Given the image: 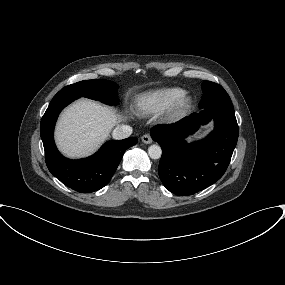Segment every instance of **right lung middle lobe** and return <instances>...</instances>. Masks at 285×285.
<instances>
[{
  "instance_id": "obj_1",
  "label": "right lung middle lobe",
  "mask_w": 285,
  "mask_h": 285,
  "mask_svg": "<svg viewBox=\"0 0 285 285\" xmlns=\"http://www.w3.org/2000/svg\"><path fill=\"white\" fill-rule=\"evenodd\" d=\"M117 89L118 85L112 81L94 79L68 85L62 88L59 93H69L77 98L87 97L108 105H116L119 102Z\"/></svg>"
}]
</instances>
